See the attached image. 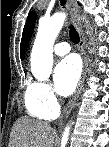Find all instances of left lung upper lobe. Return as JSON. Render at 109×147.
I'll return each mask as SVG.
<instances>
[{
  "mask_svg": "<svg viewBox=\"0 0 109 147\" xmlns=\"http://www.w3.org/2000/svg\"><path fill=\"white\" fill-rule=\"evenodd\" d=\"M35 21H36V13L35 11H31L27 17L24 30H23L21 47H20L21 58L24 57V54L26 52L27 46L29 44L33 29H34Z\"/></svg>",
  "mask_w": 109,
  "mask_h": 147,
  "instance_id": "obj_1",
  "label": "left lung upper lobe"
}]
</instances>
